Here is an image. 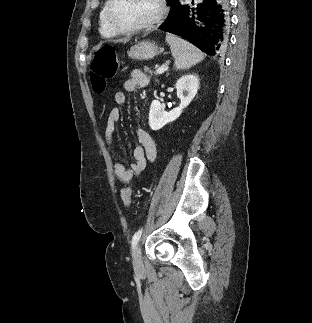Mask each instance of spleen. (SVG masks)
Here are the masks:
<instances>
[{"label":"spleen","instance_id":"1","mask_svg":"<svg viewBox=\"0 0 312 323\" xmlns=\"http://www.w3.org/2000/svg\"><path fill=\"white\" fill-rule=\"evenodd\" d=\"M165 40L170 46L172 56L175 58V66L178 70H189L191 66H195V64L204 60L203 52H200L193 44H189L179 36L166 34Z\"/></svg>","mask_w":312,"mask_h":323}]
</instances>
